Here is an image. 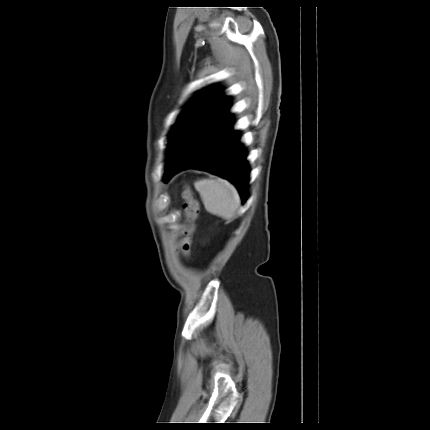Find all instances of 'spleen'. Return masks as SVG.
Returning <instances> with one entry per match:
<instances>
[{
    "instance_id": "spleen-1",
    "label": "spleen",
    "mask_w": 430,
    "mask_h": 430,
    "mask_svg": "<svg viewBox=\"0 0 430 430\" xmlns=\"http://www.w3.org/2000/svg\"><path fill=\"white\" fill-rule=\"evenodd\" d=\"M205 209L214 215L230 217L240 206L235 187L223 179H201L194 182Z\"/></svg>"
}]
</instances>
